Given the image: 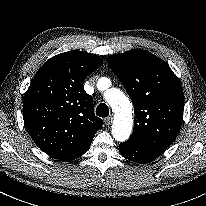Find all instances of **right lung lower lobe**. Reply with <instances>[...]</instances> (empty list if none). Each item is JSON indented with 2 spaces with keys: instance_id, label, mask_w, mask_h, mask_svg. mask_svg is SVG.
<instances>
[{
  "instance_id": "98d812e1",
  "label": "right lung lower lobe",
  "mask_w": 206,
  "mask_h": 206,
  "mask_svg": "<svg viewBox=\"0 0 206 206\" xmlns=\"http://www.w3.org/2000/svg\"><path fill=\"white\" fill-rule=\"evenodd\" d=\"M89 147H90V146H89ZM89 147L86 148L85 150L81 151L80 153H78V154H76V155H73V156H70V157H68V158H66V159H64V160H62V161H71V160H74V159L82 156L84 153L87 152V150L89 149Z\"/></svg>"
}]
</instances>
